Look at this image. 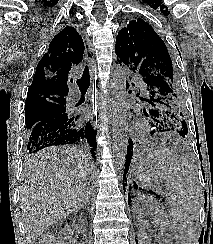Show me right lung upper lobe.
Instances as JSON below:
<instances>
[{"label":"right lung upper lobe","instance_id":"1","mask_svg":"<svg viewBox=\"0 0 213 244\" xmlns=\"http://www.w3.org/2000/svg\"><path fill=\"white\" fill-rule=\"evenodd\" d=\"M84 43L73 27L67 26L50 42L48 52L37 65L27 97L68 94V75L83 59Z\"/></svg>","mask_w":213,"mask_h":244}]
</instances>
